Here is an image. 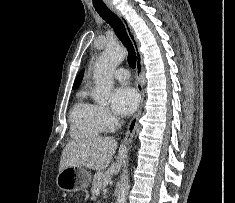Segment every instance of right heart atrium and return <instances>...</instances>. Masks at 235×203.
<instances>
[{"label": "right heart atrium", "instance_id": "obj_1", "mask_svg": "<svg viewBox=\"0 0 235 203\" xmlns=\"http://www.w3.org/2000/svg\"><path fill=\"white\" fill-rule=\"evenodd\" d=\"M95 112L97 120L104 131H111L117 126V118L111 113V111L107 107L96 105Z\"/></svg>", "mask_w": 235, "mask_h": 203}]
</instances>
